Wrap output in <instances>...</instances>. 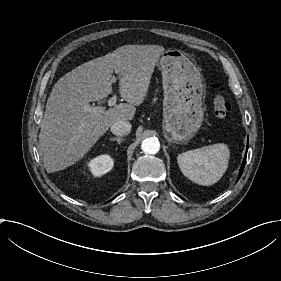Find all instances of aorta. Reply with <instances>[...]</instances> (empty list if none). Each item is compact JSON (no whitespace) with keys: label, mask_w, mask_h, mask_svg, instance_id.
Masks as SVG:
<instances>
[{"label":"aorta","mask_w":281,"mask_h":281,"mask_svg":"<svg viewBox=\"0 0 281 281\" xmlns=\"http://www.w3.org/2000/svg\"><path fill=\"white\" fill-rule=\"evenodd\" d=\"M141 148L146 154H156L160 149V142L156 137H149L143 140Z\"/></svg>","instance_id":"obj_1"}]
</instances>
